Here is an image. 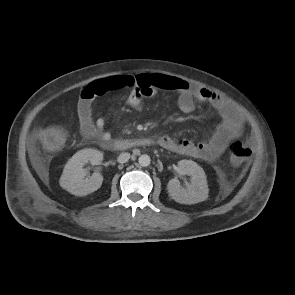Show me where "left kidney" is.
Returning <instances> with one entry per match:
<instances>
[{"label":"left kidney","mask_w":295,"mask_h":295,"mask_svg":"<svg viewBox=\"0 0 295 295\" xmlns=\"http://www.w3.org/2000/svg\"><path fill=\"white\" fill-rule=\"evenodd\" d=\"M180 172L191 177V183L186 188L180 185L178 179L169 180L167 189L169 196L181 204H195L205 201L208 197V185L205 172L196 162L192 160H181L178 162Z\"/></svg>","instance_id":"1"}]
</instances>
